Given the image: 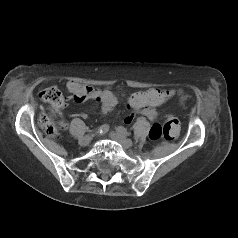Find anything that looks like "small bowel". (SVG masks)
Masks as SVG:
<instances>
[{"mask_svg": "<svg viewBox=\"0 0 238 238\" xmlns=\"http://www.w3.org/2000/svg\"><path fill=\"white\" fill-rule=\"evenodd\" d=\"M67 87L71 93L70 98L77 103H81L86 100H96L100 102L102 105V113L104 115L110 113L117 103V97L109 88L101 89L92 86H86L75 81L68 82ZM171 95L172 91L150 89L143 92L133 93L129 97L128 103L134 112L144 115L146 109L153 108L156 110V107L163 104ZM65 107L66 104H63L61 107L53 108V112L57 113ZM156 112V117L149 119L150 121H155L158 118L159 113L157 110ZM73 116H81L83 118L86 117L85 114H73ZM133 119L134 115L129 114L125 117L124 121L125 123L129 124L133 121ZM59 124L61 127L66 125L64 120H61Z\"/></svg>", "mask_w": 238, "mask_h": 238, "instance_id": "1", "label": "small bowel"}]
</instances>
